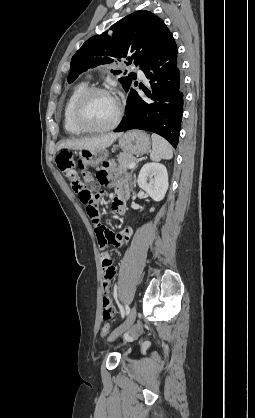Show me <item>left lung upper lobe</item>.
I'll list each match as a JSON object with an SVG mask.
<instances>
[{
	"instance_id": "5c2ea615",
	"label": "left lung upper lobe",
	"mask_w": 255,
	"mask_h": 418,
	"mask_svg": "<svg viewBox=\"0 0 255 418\" xmlns=\"http://www.w3.org/2000/svg\"><path fill=\"white\" fill-rule=\"evenodd\" d=\"M107 33L95 35L88 39L74 54L71 60L68 83H72L86 69L102 64H109L127 59L128 65H143L151 56L160 52L173 37L165 23L152 12L136 11L116 22ZM115 75L120 70H111ZM125 75V73H124ZM134 73L119 78L126 91H129Z\"/></svg>"
}]
</instances>
